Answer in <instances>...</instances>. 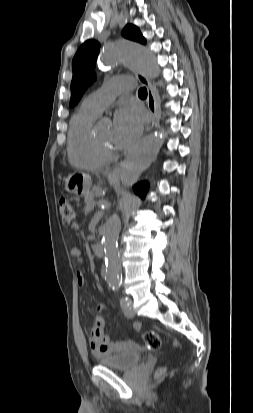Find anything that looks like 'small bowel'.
<instances>
[{"label":"small bowel","instance_id":"obj_1","mask_svg":"<svg viewBox=\"0 0 253 413\" xmlns=\"http://www.w3.org/2000/svg\"><path fill=\"white\" fill-rule=\"evenodd\" d=\"M72 255L75 257H79L81 252L78 248H74L71 251ZM84 276L82 273H77V283L79 286L84 285ZM103 307L98 306L97 313L94 316L93 324L91 329L87 333V341L91 352L95 356H106L116 352H120L129 346L132 345L131 342L128 341H113L110 337L105 333V321L101 316L100 312L102 311ZM140 324H134V330H139Z\"/></svg>","mask_w":253,"mask_h":413}]
</instances>
